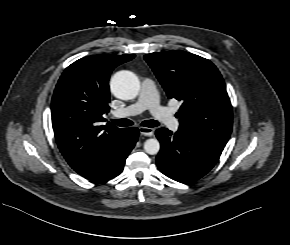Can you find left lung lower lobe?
Returning <instances> with one entry per match:
<instances>
[{
    "mask_svg": "<svg viewBox=\"0 0 290 245\" xmlns=\"http://www.w3.org/2000/svg\"><path fill=\"white\" fill-rule=\"evenodd\" d=\"M161 149L156 157L159 170L181 183H191L207 174L218 161L223 147L192 135L166 128L156 130Z\"/></svg>",
    "mask_w": 290,
    "mask_h": 245,
    "instance_id": "1",
    "label": "left lung lower lobe"
}]
</instances>
